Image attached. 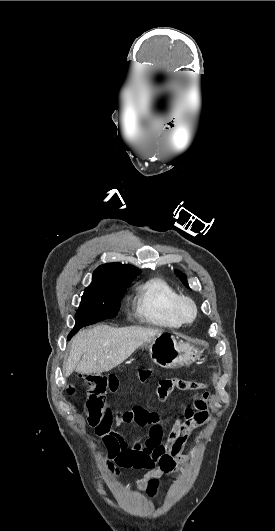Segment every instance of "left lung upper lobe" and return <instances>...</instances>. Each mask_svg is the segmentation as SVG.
<instances>
[{
	"instance_id": "left-lung-upper-lobe-1",
	"label": "left lung upper lobe",
	"mask_w": 275,
	"mask_h": 531,
	"mask_svg": "<svg viewBox=\"0 0 275 531\" xmlns=\"http://www.w3.org/2000/svg\"><path fill=\"white\" fill-rule=\"evenodd\" d=\"M175 274H176L177 276H179V278L181 279V281L183 282V284H184L186 287H188V283H187V278H186V276H185L184 274H182V273H181L180 271H178V270H175Z\"/></svg>"
}]
</instances>
